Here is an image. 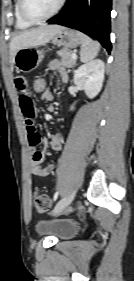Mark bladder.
<instances>
[{"label": "bladder", "instance_id": "bladder-1", "mask_svg": "<svg viewBox=\"0 0 134 281\" xmlns=\"http://www.w3.org/2000/svg\"><path fill=\"white\" fill-rule=\"evenodd\" d=\"M36 231L40 235L51 236L57 239L71 237L76 231V223L67 219H41L36 224Z\"/></svg>", "mask_w": 134, "mask_h": 281}]
</instances>
